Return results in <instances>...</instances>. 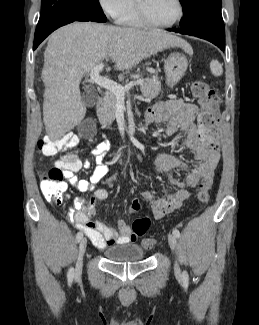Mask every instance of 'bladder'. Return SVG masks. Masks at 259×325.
I'll use <instances>...</instances> for the list:
<instances>
[{"mask_svg":"<svg viewBox=\"0 0 259 325\" xmlns=\"http://www.w3.org/2000/svg\"><path fill=\"white\" fill-rule=\"evenodd\" d=\"M104 256L111 262H133L144 258L143 249L133 243L116 244L104 251Z\"/></svg>","mask_w":259,"mask_h":325,"instance_id":"31cf9c89","label":"bladder"}]
</instances>
